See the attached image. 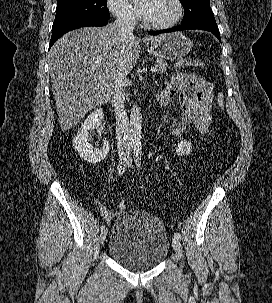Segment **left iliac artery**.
Listing matches in <instances>:
<instances>
[{
    "instance_id": "44dca946",
    "label": "left iliac artery",
    "mask_w": 272,
    "mask_h": 303,
    "mask_svg": "<svg viewBox=\"0 0 272 303\" xmlns=\"http://www.w3.org/2000/svg\"><path fill=\"white\" fill-rule=\"evenodd\" d=\"M141 150H142L141 144L137 143L134 147V160L138 167L141 166ZM174 236L181 239V234L179 232H175Z\"/></svg>"
}]
</instances>
